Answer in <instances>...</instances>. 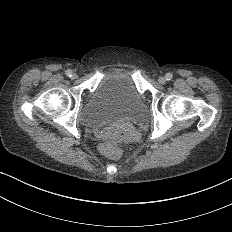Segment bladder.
<instances>
[{
  "label": "bladder",
  "mask_w": 232,
  "mask_h": 232,
  "mask_svg": "<svg viewBox=\"0 0 232 232\" xmlns=\"http://www.w3.org/2000/svg\"><path fill=\"white\" fill-rule=\"evenodd\" d=\"M147 106L126 72L104 74L79 113L81 124L96 129L117 121L140 122Z\"/></svg>",
  "instance_id": "1"
}]
</instances>
